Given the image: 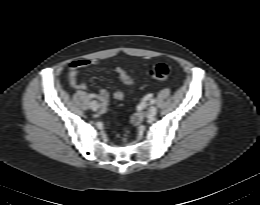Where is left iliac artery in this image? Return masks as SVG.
I'll return each mask as SVG.
<instances>
[{
	"label": "left iliac artery",
	"mask_w": 260,
	"mask_h": 205,
	"mask_svg": "<svg viewBox=\"0 0 260 205\" xmlns=\"http://www.w3.org/2000/svg\"><path fill=\"white\" fill-rule=\"evenodd\" d=\"M156 102V99H154V98H152L151 100H150V103L151 104H154Z\"/></svg>",
	"instance_id": "left-iliac-artery-1"
}]
</instances>
